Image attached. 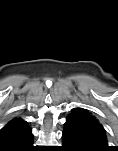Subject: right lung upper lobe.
<instances>
[{
    "label": "right lung upper lobe",
    "mask_w": 118,
    "mask_h": 151,
    "mask_svg": "<svg viewBox=\"0 0 118 151\" xmlns=\"http://www.w3.org/2000/svg\"><path fill=\"white\" fill-rule=\"evenodd\" d=\"M33 141L31 128L25 120L15 118L0 131V151H17Z\"/></svg>",
    "instance_id": "1"
}]
</instances>
